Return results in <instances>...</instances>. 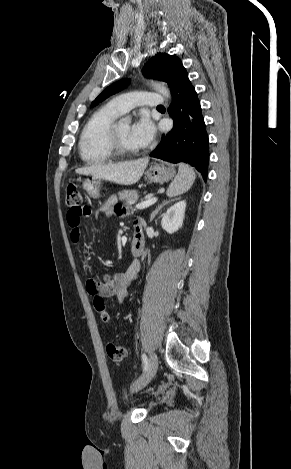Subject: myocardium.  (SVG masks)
<instances>
[{
	"label": "myocardium",
	"instance_id": "f54148a6",
	"mask_svg": "<svg viewBox=\"0 0 291 469\" xmlns=\"http://www.w3.org/2000/svg\"><path fill=\"white\" fill-rule=\"evenodd\" d=\"M118 122H114L108 131V145L114 156L127 157L139 153V149H128L123 146L118 135Z\"/></svg>",
	"mask_w": 291,
	"mask_h": 469
}]
</instances>
